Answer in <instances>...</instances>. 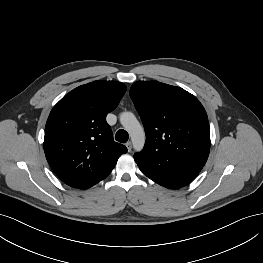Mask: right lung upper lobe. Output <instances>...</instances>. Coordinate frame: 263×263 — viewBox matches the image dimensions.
<instances>
[{
    "instance_id": "right-lung-upper-lobe-1",
    "label": "right lung upper lobe",
    "mask_w": 263,
    "mask_h": 263,
    "mask_svg": "<svg viewBox=\"0 0 263 263\" xmlns=\"http://www.w3.org/2000/svg\"><path fill=\"white\" fill-rule=\"evenodd\" d=\"M126 86L98 80L75 88L52 109L45 127L44 152L67 185L89 188L106 178L127 148L116 143L106 116Z\"/></svg>"
}]
</instances>
